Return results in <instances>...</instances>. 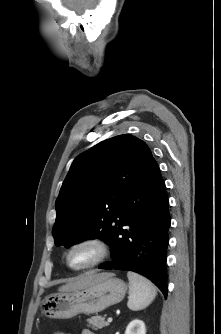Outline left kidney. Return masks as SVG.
Returning a JSON list of instances; mask_svg holds the SVG:
<instances>
[{
  "mask_svg": "<svg viewBox=\"0 0 221 334\" xmlns=\"http://www.w3.org/2000/svg\"><path fill=\"white\" fill-rule=\"evenodd\" d=\"M125 334H146L145 323L139 319L131 321L126 328Z\"/></svg>",
  "mask_w": 221,
  "mask_h": 334,
  "instance_id": "left-kidney-1",
  "label": "left kidney"
}]
</instances>
